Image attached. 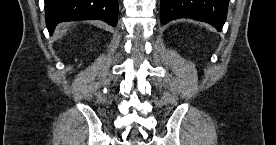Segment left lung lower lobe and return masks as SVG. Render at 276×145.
Returning <instances> with one entry per match:
<instances>
[{"instance_id": "1", "label": "left lung lower lobe", "mask_w": 276, "mask_h": 145, "mask_svg": "<svg viewBox=\"0 0 276 145\" xmlns=\"http://www.w3.org/2000/svg\"><path fill=\"white\" fill-rule=\"evenodd\" d=\"M229 0H161L160 21L164 25L177 18L205 21L218 31L226 21Z\"/></svg>"}]
</instances>
